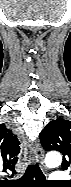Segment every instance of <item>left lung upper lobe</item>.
Here are the masks:
<instances>
[{"label":"left lung upper lobe","mask_w":71,"mask_h":187,"mask_svg":"<svg viewBox=\"0 0 71 187\" xmlns=\"http://www.w3.org/2000/svg\"><path fill=\"white\" fill-rule=\"evenodd\" d=\"M40 141L46 151L56 150L63 154V170L71 168V121L52 120L42 130Z\"/></svg>","instance_id":"left-lung-upper-lobe-1"}]
</instances>
